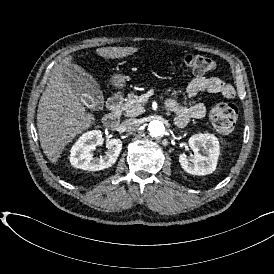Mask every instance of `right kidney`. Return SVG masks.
Returning a JSON list of instances; mask_svg holds the SVG:
<instances>
[{"instance_id": "ca27d5eb", "label": "right kidney", "mask_w": 274, "mask_h": 274, "mask_svg": "<svg viewBox=\"0 0 274 274\" xmlns=\"http://www.w3.org/2000/svg\"><path fill=\"white\" fill-rule=\"evenodd\" d=\"M101 140V131L94 130L83 134L71 149L72 166L85 171H100L114 165L121 153L123 142L118 138L107 140L106 155L94 158L91 152L100 145Z\"/></svg>"}]
</instances>
